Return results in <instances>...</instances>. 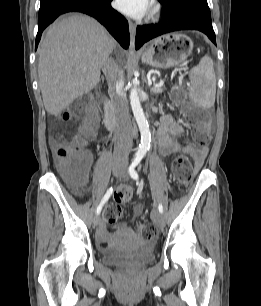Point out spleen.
Listing matches in <instances>:
<instances>
[{
	"label": "spleen",
	"mask_w": 261,
	"mask_h": 306,
	"mask_svg": "<svg viewBox=\"0 0 261 306\" xmlns=\"http://www.w3.org/2000/svg\"><path fill=\"white\" fill-rule=\"evenodd\" d=\"M189 77L191 99L203 108H211L216 95V76L212 59L204 56L199 64L191 69Z\"/></svg>",
	"instance_id": "3e777b00"
}]
</instances>
